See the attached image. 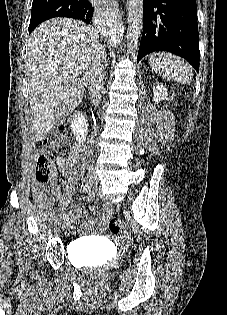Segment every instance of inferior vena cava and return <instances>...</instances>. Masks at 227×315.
<instances>
[{
	"instance_id": "inferior-vena-cava-1",
	"label": "inferior vena cava",
	"mask_w": 227,
	"mask_h": 315,
	"mask_svg": "<svg viewBox=\"0 0 227 315\" xmlns=\"http://www.w3.org/2000/svg\"><path fill=\"white\" fill-rule=\"evenodd\" d=\"M98 57L95 59L92 68V74L90 79V93L92 95V101L94 105H98L101 99L102 82L104 78L103 71L105 65L102 64L100 58L102 57V52L99 50Z\"/></svg>"
}]
</instances>
